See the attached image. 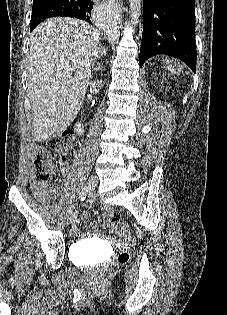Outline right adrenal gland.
<instances>
[{
    "instance_id": "right-adrenal-gland-1",
    "label": "right adrenal gland",
    "mask_w": 227,
    "mask_h": 315,
    "mask_svg": "<svg viewBox=\"0 0 227 315\" xmlns=\"http://www.w3.org/2000/svg\"><path fill=\"white\" fill-rule=\"evenodd\" d=\"M98 53L101 55V56H105V50H104V47L100 45L99 47V50H98Z\"/></svg>"
}]
</instances>
